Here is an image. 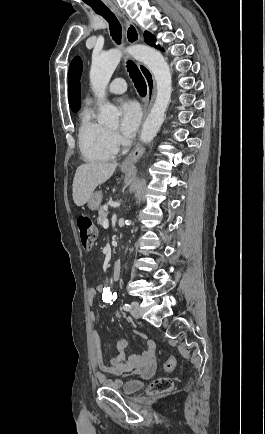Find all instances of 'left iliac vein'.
<instances>
[{
    "label": "left iliac vein",
    "instance_id": "left-iliac-vein-1",
    "mask_svg": "<svg viewBox=\"0 0 265 434\" xmlns=\"http://www.w3.org/2000/svg\"><path fill=\"white\" fill-rule=\"evenodd\" d=\"M131 314L136 319L141 317L140 304L136 301L131 303Z\"/></svg>",
    "mask_w": 265,
    "mask_h": 434
}]
</instances>
